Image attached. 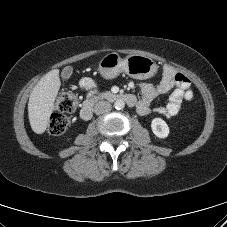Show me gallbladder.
Masks as SVG:
<instances>
[{"instance_id": "bac80fb5", "label": "gallbladder", "mask_w": 227, "mask_h": 227, "mask_svg": "<svg viewBox=\"0 0 227 227\" xmlns=\"http://www.w3.org/2000/svg\"><path fill=\"white\" fill-rule=\"evenodd\" d=\"M73 69L70 66L65 67L61 72L62 79L66 80L72 75Z\"/></svg>"}]
</instances>
